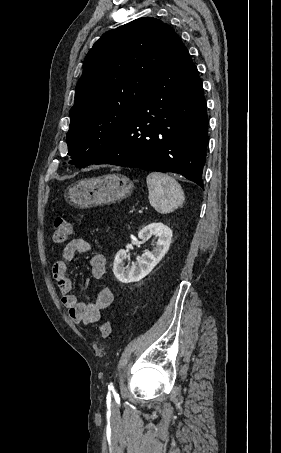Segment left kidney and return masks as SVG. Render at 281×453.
<instances>
[{"label": "left kidney", "instance_id": "obj_1", "mask_svg": "<svg viewBox=\"0 0 281 453\" xmlns=\"http://www.w3.org/2000/svg\"><path fill=\"white\" fill-rule=\"evenodd\" d=\"M155 235L158 241L153 251H145L141 257H137L136 263H132L131 267H125V261H130V255L124 249L118 251L113 265V273L121 283H137L144 279L146 275L151 273L157 263L163 259L167 251H169L172 231L163 222H151L139 231L138 237L142 239V243L147 241L148 237Z\"/></svg>", "mask_w": 281, "mask_h": 453}]
</instances>
